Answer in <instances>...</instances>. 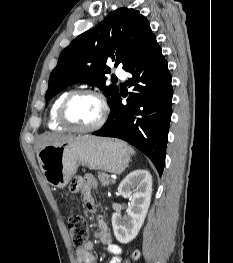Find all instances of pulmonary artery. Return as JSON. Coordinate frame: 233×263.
<instances>
[{
	"label": "pulmonary artery",
	"mask_w": 233,
	"mask_h": 263,
	"mask_svg": "<svg viewBox=\"0 0 233 263\" xmlns=\"http://www.w3.org/2000/svg\"><path fill=\"white\" fill-rule=\"evenodd\" d=\"M116 75L121 78V79H125L127 77L126 72L124 71V69H122L121 67H118L116 69Z\"/></svg>",
	"instance_id": "pulmonary-artery-1"
}]
</instances>
